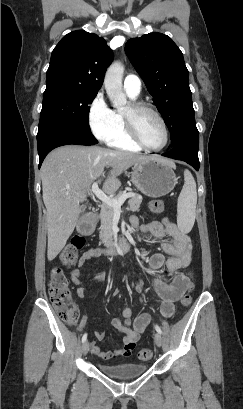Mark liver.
Wrapping results in <instances>:
<instances>
[{
  "mask_svg": "<svg viewBox=\"0 0 243 409\" xmlns=\"http://www.w3.org/2000/svg\"><path fill=\"white\" fill-rule=\"evenodd\" d=\"M151 156L99 146L66 145L51 151L41 167L42 195L47 210V258L52 261L66 245L82 213L90 186L105 178L103 190L113 194L118 176ZM111 170L105 176V168Z\"/></svg>",
  "mask_w": 243,
  "mask_h": 409,
  "instance_id": "1",
  "label": "liver"
}]
</instances>
